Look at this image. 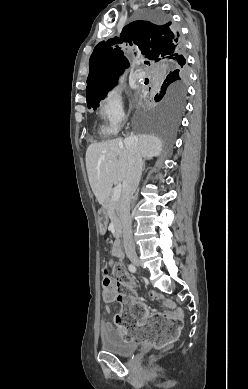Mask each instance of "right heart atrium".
<instances>
[{"mask_svg":"<svg viewBox=\"0 0 248 389\" xmlns=\"http://www.w3.org/2000/svg\"><path fill=\"white\" fill-rule=\"evenodd\" d=\"M98 113L103 120V131L106 134L117 133L126 120L121 95L117 92L106 94L100 102Z\"/></svg>","mask_w":248,"mask_h":389,"instance_id":"1","label":"right heart atrium"}]
</instances>
